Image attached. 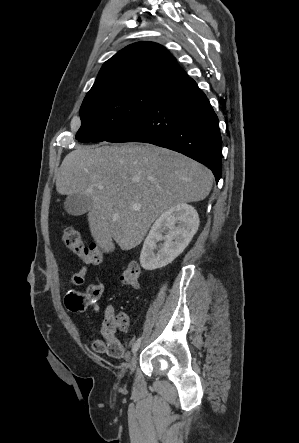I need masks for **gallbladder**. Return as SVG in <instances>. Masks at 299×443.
Segmentation results:
<instances>
[{"instance_id":"1","label":"gallbladder","mask_w":299,"mask_h":443,"mask_svg":"<svg viewBox=\"0 0 299 443\" xmlns=\"http://www.w3.org/2000/svg\"><path fill=\"white\" fill-rule=\"evenodd\" d=\"M91 206L92 198L81 193L69 195L64 202L66 212L72 216L85 214Z\"/></svg>"}]
</instances>
